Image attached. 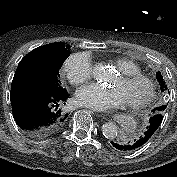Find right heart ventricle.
Returning <instances> with one entry per match:
<instances>
[{"label":"right heart ventricle","instance_id":"e07e8e85","mask_svg":"<svg viewBox=\"0 0 177 177\" xmlns=\"http://www.w3.org/2000/svg\"><path fill=\"white\" fill-rule=\"evenodd\" d=\"M118 71L122 74L141 73L140 66L133 60L127 58H118L113 61Z\"/></svg>","mask_w":177,"mask_h":177}]
</instances>
